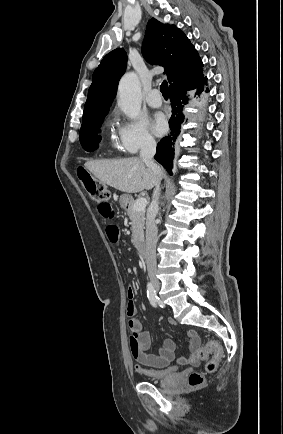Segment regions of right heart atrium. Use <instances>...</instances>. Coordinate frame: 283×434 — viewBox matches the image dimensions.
Returning a JSON list of instances; mask_svg holds the SVG:
<instances>
[{
    "instance_id": "right-heart-atrium-1",
    "label": "right heart atrium",
    "mask_w": 283,
    "mask_h": 434,
    "mask_svg": "<svg viewBox=\"0 0 283 434\" xmlns=\"http://www.w3.org/2000/svg\"><path fill=\"white\" fill-rule=\"evenodd\" d=\"M117 140L118 147L127 154H136L155 145L148 124L142 118L122 122L117 129Z\"/></svg>"
}]
</instances>
